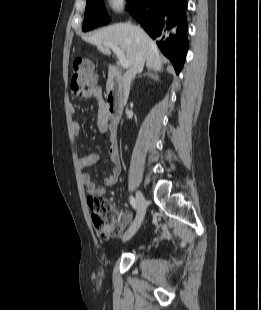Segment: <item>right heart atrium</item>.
<instances>
[{
	"instance_id": "d8ad5b80",
	"label": "right heart atrium",
	"mask_w": 261,
	"mask_h": 310,
	"mask_svg": "<svg viewBox=\"0 0 261 310\" xmlns=\"http://www.w3.org/2000/svg\"><path fill=\"white\" fill-rule=\"evenodd\" d=\"M127 2V0H107V5L113 13L120 14L125 10Z\"/></svg>"
}]
</instances>
